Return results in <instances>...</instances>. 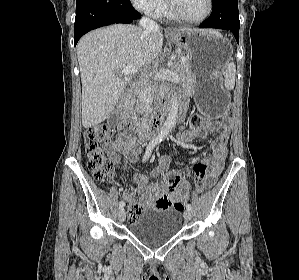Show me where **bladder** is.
<instances>
[{
    "instance_id": "obj_1",
    "label": "bladder",
    "mask_w": 299,
    "mask_h": 280,
    "mask_svg": "<svg viewBox=\"0 0 299 280\" xmlns=\"http://www.w3.org/2000/svg\"><path fill=\"white\" fill-rule=\"evenodd\" d=\"M182 226L181 213L173 208H150L130 223L129 231L148 246H159L174 238Z\"/></svg>"
}]
</instances>
